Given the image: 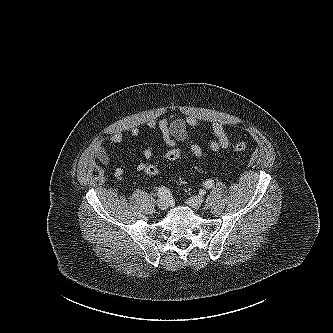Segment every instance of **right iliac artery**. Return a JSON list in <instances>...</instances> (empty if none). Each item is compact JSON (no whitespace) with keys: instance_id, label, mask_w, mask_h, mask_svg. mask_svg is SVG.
Instances as JSON below:
<instances>
[{"instance_id":"1","label":"right iliac artery","mask_w":333,"mask_h":333,"mask_svg":"<svg viewBox=\"0 0 333 333\" xmlns=\"http://www.w3.org/2000/svg\"><path fill=\"white\" fill-rule=\"evenodd\" d=\"M158 195H159L160 198L169 199L170 196H171V193L167 188L161 187L158 190Z\"/></svg>"}]
</instances>
